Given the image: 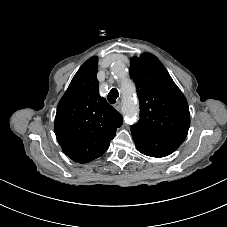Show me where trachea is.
I'll use <instances>...</instances> for the list:
<instances>
[{"label": "trachea", "instance_id": "1", "mask_svg": "<svg viewBox=\"0 0 227 227\" xmlns=\"http://www.w3.org/2000/svg\"><path fill=\"white\" fill-rule=\"evenodd\" d=\"M119 96V92L116 88H113L108 93L107 99L111 104H114Z\"/></svg>", "mask_w": 227, "mask_h": 227}]
</instances>
